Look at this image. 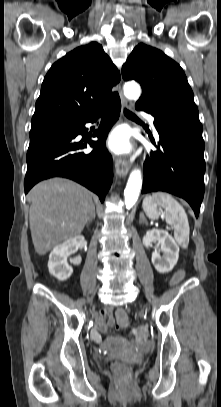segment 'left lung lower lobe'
Segmentation results:
<instances>
[{
	"mask_svg": "<svg viewBox=\"0 0 221 407\" xmlns=\"http://www.w3.org/2000/svg\"><path fill=\"white\" fill-rule=\"evenodd\" d=\"M136 109L143 110L137 106ZM153 116L160 142L158 150L152 151L145 162L142 193L165 191L182 197L198 217L205 173L199 113L178 110ZM150 139L155 144L154 139Z\"/></svg>",
	"mask_w": 221,
	"mask_h": 407,
	"instance_id": "obj_1",
	"label": "left lung lower lobe"
}]
</instances>
